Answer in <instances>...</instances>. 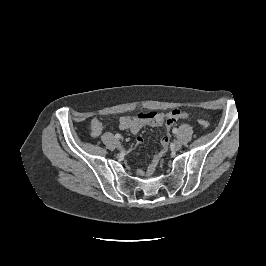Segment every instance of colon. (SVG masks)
<instances>
[{
  "label": "colon",
  "mask_w": 266,
  "mask_h": 266,
  "mask_svg": "<svg viewBox=\"0 0 266 266\" xmlns=\"http://www.w3.org/2000/svg\"><path fill=\"white\" fill-rule=\"evenodd\" d=\"M197 122L202 128H207L209 126V122L207 120L198 119Z\"/></svg>",
  "instance_id": "colon-1"
}]
</instances>
